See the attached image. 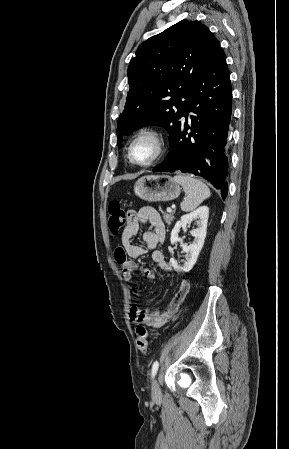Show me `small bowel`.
<instances>
[{
	"instance_id": "c3829d8e",
	"label": "small bowel",
	"mask_w": 289,
	"mask_h": 449,
	"mask_svg": "<svg viewBox=\"0 0 289 449\" xmlns=\"http://www.w3.org/2000/svg\"><path fill=\"white\" fill-rule=\"evenodd\" d=\"M141 226H150L143 233V244H134L133 238L137 235ZM165 239V225L160 214L151 207H143L139 211H131L128 214L126 227L122 233L121 246L115 249V260L121 266L122 276L131 281L133 274L140 271L147 279H154L155 273L148 267H143L135 262V259L151 253L152 259L158 268L170 271L171 265L164 254L156 250V247ZM189 291V283L181 281L178 290L165 311H143L138 306H132L129 318L133 323L143 324L151 328L164 326L175 314Z\"/></svg>"
}]
</instances>
